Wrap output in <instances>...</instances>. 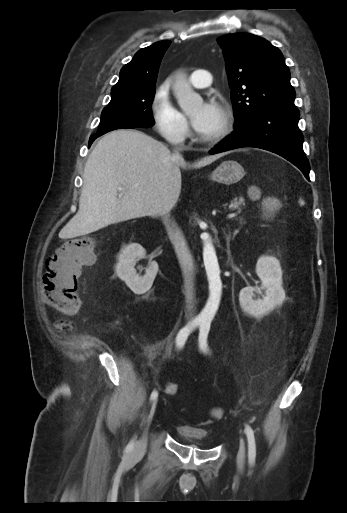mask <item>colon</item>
I'll use <instances>...</instances> for the list:
<instances>
[{
    "mask_svg": "<svg viewBox=\"0 0 347 513\" xmlns=\"http://www.w3.org/2000/svg\"><path fill=\"white\" fill-rule=\"evenodd\" d=\"M251 198L256 199L257 193L253 192ZM270 208L275 209L276 204H272ZM93 246V240L89 237L73 238L59 246L48 259L43 283L50 305L55 310L75 313L80 309L77 281L82 268L94 260ZM166 393L175 397L179 393V387L171 383L166 387ZM220 414L218 409L213 411L214 417H219Z\"/></svg>",
    "mask_w": 347,
    "mask_h": 513,
    "instance_id": "1",
    "label": "colon"
}]
</instances>
